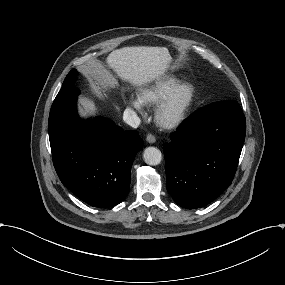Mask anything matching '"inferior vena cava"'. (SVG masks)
Wrapping results in <instances>:
<instances>
[{"label": "inferior vena cava", "instance_id": "1", "mask_svg": "<svg viewBox=\"0 0 285 285\" xmlns=\"http://www.w3.org/2000/svg\"><path fill=\"white\" fill-rule=\"evenodd\" d=\"M123 119L132 128H138L141 124L139 117L131 108L125 109Z\"/></svg>", "mask_w": 285, "mask_h": 285}]
</instances>
